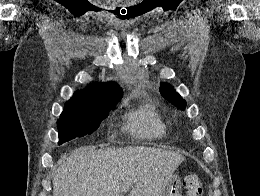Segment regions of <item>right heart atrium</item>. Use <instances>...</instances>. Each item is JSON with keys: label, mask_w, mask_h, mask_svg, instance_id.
<instances>
[{"label": "right heart atrium", "mask_w": 260, "mask_h": 196, "mask_svg": "<svg viewBox=\"0 0 260 196\" xmlns=\"http://www.w3.org/2000/svg\"><path fill=\"white\" fill-rule=\"evenodd\" d=\"M129 192H153V190H128Z\"/></svg>", "instance_id": "obj_1"}]
</instances>
